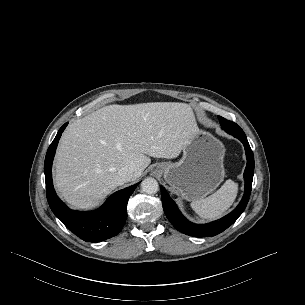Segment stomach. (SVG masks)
Returning a JSON list of instances; mask_svg holds the SVG:
<instances>
[{"instance_id": "1", "label": "stomach", "mask_w": 305, "mask_h": 305, "mask_svg": "<svg viewBox=\"0 0 305 305\" xmlns=\"http://www.w3.org/2000/svg\"><path fill=\"white\" fill-rule=\"evenodd\" d=\"M178 162H162L157 171L183 199L194 201L212 193L225 177L224 145L208 132L198 130L184 145Z\"/></svg>"}]
</instances>
